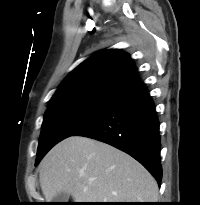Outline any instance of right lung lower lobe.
<instances>
[{"mask_svg":"<svg viewBox=\"0 0 200 205\" xmlns=\"http://www.w3.org/2000/svg\"><path fill=\"white\" fill-rule=\"evenodd\" d=\"M72 136L90 137L128 153L160 185L159 121L152 98L143 83L124 92L108 110Z\"/></svg>","mask_w":200,"mask_h":205,"instance_id":"right-lung-lower-lobe-1","label":"right lung lower lobe"}]
</instances>
